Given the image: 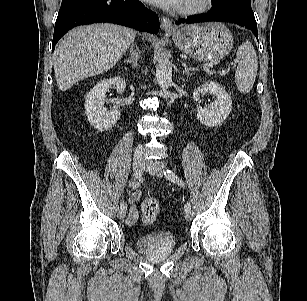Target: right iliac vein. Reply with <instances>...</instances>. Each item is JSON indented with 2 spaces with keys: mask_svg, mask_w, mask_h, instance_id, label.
<instances>
[{
  "mask_svg": "<svg viewBox=\"0 0 307 301\" xmlns=\"http://www.w3.org/2000/svg\"><path fill=\"white\" fill-rule=\"evenodd\" d=\"M145 168V161L142 157H136L133 160V172L136 178H140L143 174ZM126 215V209L120 208L117 212V216L119 219H123Z\"/></svg>",
  "mask_w": 307,
  "mask_h": 301,
  "instance_id": "right-iliac-vein-1",
  "label": "right iliac vein"
}]
</instances>
